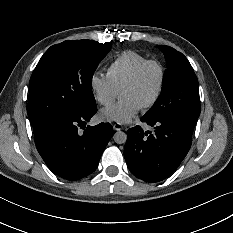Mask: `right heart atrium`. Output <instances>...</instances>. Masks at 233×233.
I'll use <instances>...</instances> for the list:
<instances>
[{"instance_id": "d8ad5b80", "label": "right heart atrium", "mask_w": 233, "mask_h": 233, "mask_svg": "<svg viewBox=\"0 0 233 233\" xmlns=\"http://www.w3.org/2000/svg\"><path fill=\"white\" fill-rule=\"evenodd\" d=\"M89 87L94 95V98L101 105H110L117 94V89L113 86L110 80L98 73H93L89 79Z\"/></svg>"}]
</instances>
